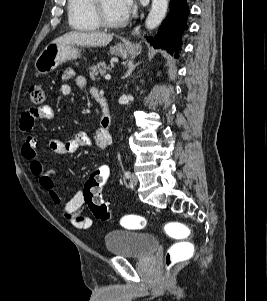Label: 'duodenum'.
<instances>
[{"label":"duodenum","instance_id":"410a0bca","mask_svg":"<svg viewBox=\"0 0 267 301\" xmlns=\"http://www.w3.org/2000/svg\"><path fill=\"white\" fill-rule=\"evenodd\" d=\"M93 97L97 101V103L100 105L101 110H102L101 127L104 130L109 131L110 126H111V114L109 111L107 99L99 91L97 93H95V95Z\"/></svg>","mask_w":267,"mask_h":301}]
</instances>
